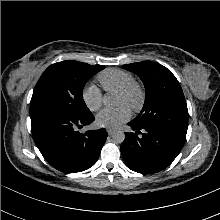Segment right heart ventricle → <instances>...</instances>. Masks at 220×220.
<instances>
[{"instance_id": "1", "label": "right heart ventricle", "mask_w": 220, "mask_h": 220, "mask_svg": "<svg viewBox=\"0 0 220 220\" xmlns=\"http://www.w3.org/2000/svg\"><path fill=\"white\" fill-rule=\"evenodd\" d=\"M97 79L107 92H117L134 82V76L129 71L119 68L106 69L98 75Z\"/></svg>"}]
</instances>
